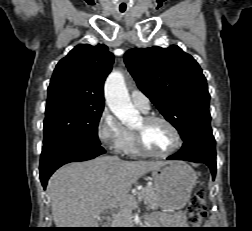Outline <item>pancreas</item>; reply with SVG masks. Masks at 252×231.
Instances as JSON below:
<instances>
[{
    "label": "pancreas",
    "instance_id": "pancreas-1",
    "mask_svg": "<svg viewBox=\"0 0 252 231\" xmlns=\"http://www.w3.org/2000/svg\"><path fill=\"white\" fill-rule=\"evenodd\" d=\"M137 198L139 201H144V203L150 208H156L157 198L155 194L154 187L146 186L137 194ZM133 201L135 200L132 197ZM133 204L124 203L121 205V209L114 217V224L117 227L124 228L127 227L131 222V210L133 208Z\"/></svg>",
    "mask_w": 252,
    "mask_h": 231
}]
</instances>
